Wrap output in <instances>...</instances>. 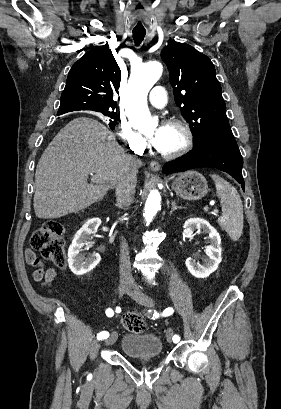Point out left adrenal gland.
<instances>
[{
    "label": "left adrenal gland",
    "mask_w": 281,
    "mask_h": 409,
    "mask_svg": "<svg viewBox=\"0 0 281 409\" xmlns=\"http://www.w3.org/2000/svg\"><path fill=\"white\" fill-rule=\"evenodd\" d=\"M172 211H177V209H184V207H177L175 200H171Z\"/></svg>",
    "instance_id": "obj_1"
}]
</instances>
